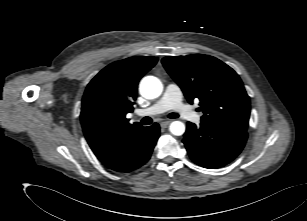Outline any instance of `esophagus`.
Here are the masks:
<instances>
[{
  "label": "esophagus",
  "instance_id": "obj_1",
  "mask_svg": "<svg viewBox=\"0 0 307 221\" xmlns=\"http://www.w3.org/2000/svg\"><path fill=\"white\" fill-rule=\"evenodd\" d=\"M171 123L170 120H166L160 123V126L163 128H166Z\"/></svg>",
  "mask_w": 307,
  "mask_h": 221
}]
</instances>
